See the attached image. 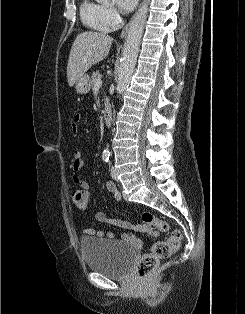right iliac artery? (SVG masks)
Masks as SVG:
<instances>
[{"instance_id":"right-iliac-artery-1","label":"right iliac artery","mask_w":245,"mask_h":314,"mask_svg":"<svg viewBox=\"0 0 245 314\" xmlns=\"http://www.w3.org/2000/svg\"><path fill=\"white\" fill-rule=\"evenodd\" d=\"M109 157H110L109 153H103L102 154V159H103L104 162H108L109 161Z\"/></svg>"}]
</instances>
